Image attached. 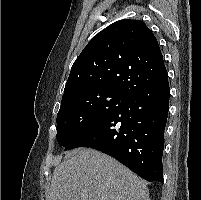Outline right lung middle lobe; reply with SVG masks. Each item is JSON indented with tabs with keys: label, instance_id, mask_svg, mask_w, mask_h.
Returning a JSON list of instances; mask_svg holds the SVG:
<instances>
[{
	"label": "right lung middle lobe",
	"instance_id": "right-lung-middle-lobe-1",
	"mask_svg": "<svg viewBox=\"0 0 201 200\" xmlns=\"http://www.w3.org/2000/svg\"><path fill=\"white\" fill-rule=\"evenodd\" d=\"M128 96L115 91H90L61 102L57 141L66 147L84 130L121 106Z\"/></svg>",
	"mask_w": 201,
	"mask_h": 200
}]
</instances>
